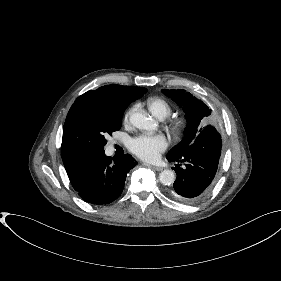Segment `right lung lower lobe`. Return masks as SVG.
I'll return each mask as SVG.
<instances>
[{
  "label": "right lung lower lobe",
  "mask_w": 281,
  "mask_h": 281,
  "mask_svg": "<svg viewBox=\"0 0 281 281\" xmlns=\"http://www.w3.org/2000/svg\"><path fill=\"white\" fill-rule=\"evenodd\" d=\"M137 165L130 155L111 158L104 151L87 156L66 169L73 188L91 204H108L123 191L127 173Z\"/></svg>",
  "instance_id": "right-lung-lower-lobe-1"
}]
</instances>
